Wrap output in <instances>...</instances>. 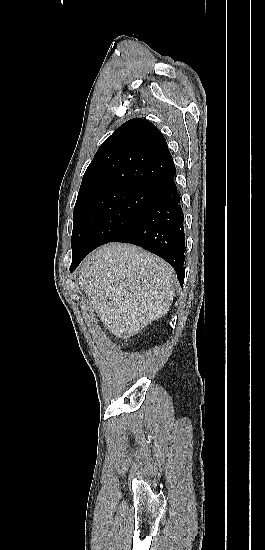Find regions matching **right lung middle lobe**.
Instances as JSON below:
<instances>
[{"label": "right lung middle lobe", "mask_w": 265, "mask_h": 550, "mask_svg": "<svg viewBox=\"0 0 265 550\" xmlns=\"http://www.w3.org/2000/svg\"><path fill=\"white\" fill-rule=\"evenodd\" d=\"M158 188L159 185L122 187L76 202L71 267L128 228L147 208Z\"/></svg>", "instance_id": "right-lung-middle-lobe-1"}]
</instances>
